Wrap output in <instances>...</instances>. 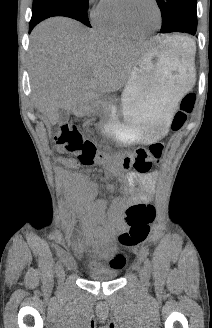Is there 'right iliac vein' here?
<instances>
[{"instance_id": "obj_1", "label": "right iliac vein", "mask_w": 212, "mask_h": 328, "mask_svg": "<svg viewBox=\"0 0 212 328\" xmlns=\"http://www.w3.org/2000/svg\"><path fill=\"white\" fill-rule=\"evenodd\" d=\"M64 277H65V271L63 268H61V270L59 271V274H58L59 283H62L64 281Z\"/></svg>"}]
</instances>
